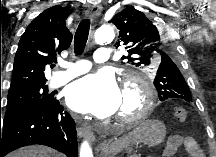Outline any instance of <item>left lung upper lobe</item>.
I'll use <instances>...</instances> for the list:
<instances>
[{"instance_id": "left-lung-upper-lobe-1", "label": "left lung upper lobe", "mask_w": 216, "mask_h": 157, "mask_svg": "<svg viewBox=\"0 0 216 157\" xmlns=\"http://www.w3.org/2000/svg\"><path fill=\"white\" fill-rule=\"evenodd\" d=\"M119 30L116 47H124L128 56L122 59L140 68L154 69V86L162 101L184 100L192 102V96L178 64L175 39L165 35V27L148 19L144 13L127 6L109 21Z\"/></svg>"}]
</instances>
